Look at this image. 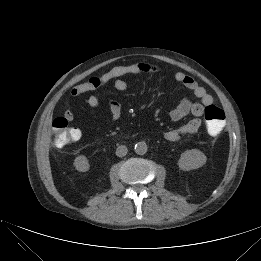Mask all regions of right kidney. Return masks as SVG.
<instances>
[{
    "label": "right kidney",
    "mask_w": 261,
    "mask_h": 261,
    "mask_svg": "<svg viewBox=\"0 0 261 261\" xmlns=\"http://www.w3.org/2000/svg\"><path fill=\"white\" fill-rule=\"evenodd\" d=\"M73 164L75 169L79 172H86L90 168L89 161L84 155L77 156Z\"/></svg>",
    "instance_id": "ca27d5eb"
}]
</instances>
